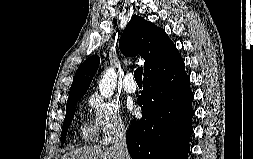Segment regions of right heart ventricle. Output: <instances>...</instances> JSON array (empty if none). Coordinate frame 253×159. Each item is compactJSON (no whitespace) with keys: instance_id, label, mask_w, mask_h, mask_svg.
I'll list each match as a JSON object with an SVG mask.
<instances>
[{"instance_id":"obj_1","label":"right heart ventricle","mask_w":253,"mask_h":159,"mask_svg":"<svg viewBox=\"0 0 253 159\" xmlns=\"http://www.w3.org/2000/svg\"><path fill=\"white\" fill-rule=\"evenodd\" d=\"M94 134V129L92 127V125L88 124V123H84L81 126V135L84 139L89 140L92 138Z\"/></svg>"}]
</instances>
